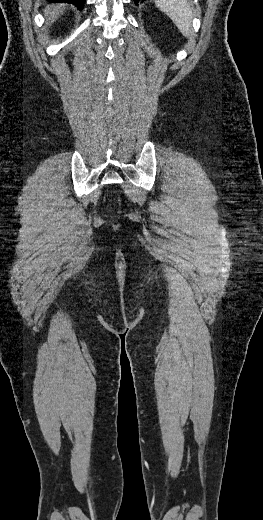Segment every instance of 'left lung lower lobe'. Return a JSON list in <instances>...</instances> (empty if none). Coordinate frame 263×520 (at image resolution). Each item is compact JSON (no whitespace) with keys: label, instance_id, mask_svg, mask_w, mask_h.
<instances>
[{"label":"left lung lower lobe","instance_id":"left-lung-lower-lobe-1","mask_svg":"<svg viewBox=\"0 0 263 520\" xmlns=\"http://www.w3.org/2000/svg\"><path fill=\"white\" fill-rule=\"evenodd\" d=\"M140 0H134L135 4L137 5ZM144 1V0H141Z\"/></svg>","mask_w":263,"mask_h":520}]
</instances>
